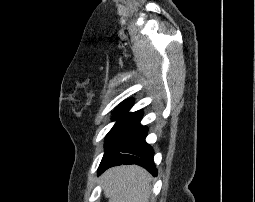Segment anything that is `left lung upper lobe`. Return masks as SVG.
I'll use <instances>...</instances> for the list:
<instances>
[{
	"instance_id": "obj_1",
	"label": "left lung upper lobe",
	"mask_w": 255,
	"mask_h": 202,
	"mask_svg": "<svg viewBox=\"0 0 255 202\" xmlns=\"http://www.w3.org/2000/svg\"><path fill=\"white\" fill-rule=\"evenodd\" d=\"M132 100H126L114 112L117 120L113 128L106 135L105 153L102 161L112 160L123 148L131 136L141 127L142 111L129 113Z\"/></svg>"
}]
</instances>
